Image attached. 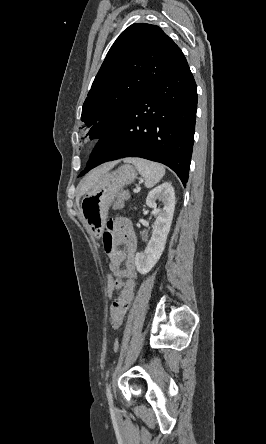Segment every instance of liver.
Segmentation results:
<instances>
[{
    "mask_svg": "<svg viewBox=\"0 0 266 444\" xmlns=\"http://www.w3.org/2000/svg\"><path fill=\"white\" fill-rule=\"evenodd\" d=\"M116 165V162H110L103 164L98 169L94 170L90 173L85 180L81 183L79 194L76 198L77 203L82 195L87 193L98 181L104 176L110 169H112Z\"/></svg>",
    "mask_w": 266,
    "mask_h": 444,
    "instance_id": "obj_1",
    "label": "liver"
}]
</instances>
